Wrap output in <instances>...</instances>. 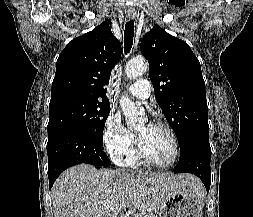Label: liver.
I'll use <instances>...</instances> for the list:
<instances>
[{
  "mask_svg": "<svg viewBox=\"0 0 253 217\" xmlns=\"http://www.w3.org/2000/svg\"><path fill=\"white\" fill-rule=\"evenodd\" d=\"M180 192L201 198L204 187L190 174L134 175L79 164L59 176L51 200L54 217H123L127 209H138L142 215L156 213Z\"/></svg>",
  "mask_w": 253,
  "mask_h": 217,
  "instance_id": "obj_1",
  "label": "liver"
}]
</instances>
